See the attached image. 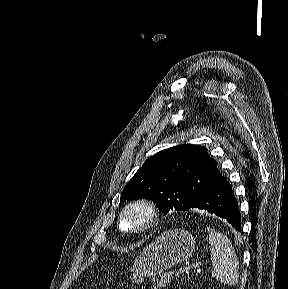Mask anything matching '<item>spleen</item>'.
Segmentation results:
<instances>
[{"label":"spleen","instance_id":"obj_1","mask_svg":"<svg viewBox=\"0 0 288 289\" xmlns=\"http://www.w3.org/2000/svg\"><path fill=\"white\" fill-rule=\"evenodd\" d=\"M211 245L212 276L219 282L234 286L238 283V258L230 240L223 234L207 229Z\"/></svg>","mask_w":288,"mask_h":289}]
</instances>
